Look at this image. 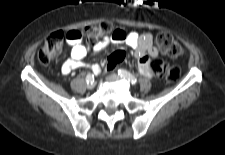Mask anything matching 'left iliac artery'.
<instances>
[{
	"instance_id": "left-iliac-artery-1",
	"label": "left iliac artery",
	"mask_w": 225,
	"mask_h": 155,
	"mask_svg": "<svg viewBox=\"0 0 225 155\" xmlns=\"http://www.w3.org/2000/svg\"><path fill=\"white\" fill-rule=\"evenodd\" d=\"M118 74L123 77L124 79L128 80L129 82H131L132 84H136L137 83V79L135 78L134 75H132L130 72H128L125 69H119L118 70Z\"/></svg>"
}]
</instances>
